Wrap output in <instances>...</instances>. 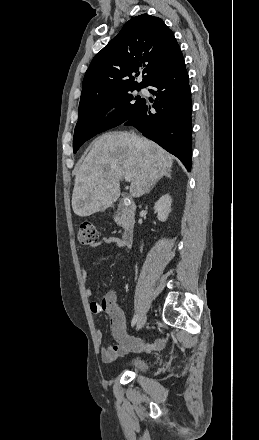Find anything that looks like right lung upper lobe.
Wrapping results in <instances>:
<instances>
[{
    "mask_svg": "<svg viewBox=\"0 0 259 440\" xmlns=\"http://www.w3.org/2000/svg\"><path fill=\"white\" fill-rule=\"evenodd\" d=\"M180 54L172 31L160 18L148 14L132 18L93 58L83 80L79 108L116 92L146 87ZM142 68L145 75L137 83L135 77Z\"/></svg>",
    "mask_w": 259,
    "mask_h": 440,
    "instance_id": "1",
    "label": "right lung upper lobe"
}]
</instances>
